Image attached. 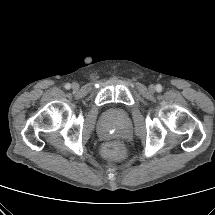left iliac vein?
<instances>
[{
    "mask_svg": "<svg viewBox=\"0 0 215 215\" xmlns=\"http://www.w3.org/2000/svg\"><path fill=\"white\" fill-rule=\"evenodd\" d=\"M155 90H156V87H155L154 85H150V86H149V91H150L151 93H154Z\"/></svg>",
    "mask_w": 215,
    "mask_h": 215,
    "instance_id": "left-iliac-vein-1",
    "label": "left iliac vein"
}]
</instances>
